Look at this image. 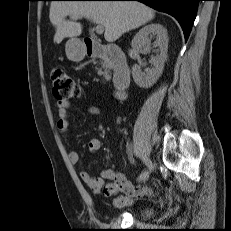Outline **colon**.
<instances>
[{
  "instance_id": "colon-1",
  "label": "colon",
  "mask_w": 231,
  "mask_h": 231,
  "mask_svg": "<svg viewBox=\"0 0 231 231\" xmlns=\"http://www.w3.org/2000/svg\"><path fill=\"white\" fill-rule=\"evenodd\" d=\"M53 94L60 102H68L80 96L77 82L63 68H54L50 74Z\"/></svg>"
}]
</instances>
